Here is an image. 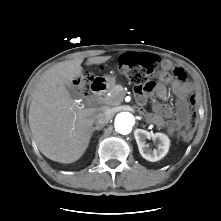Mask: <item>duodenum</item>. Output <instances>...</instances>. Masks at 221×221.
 Listing matches in <instances>:
<instances>
[{
    "mask_svg": "<svg viewBox=\"0 0 221 221\" xmlns=\"http://www.w3.org/2000/svg\"><path fill=\"white\" fill-rule=\"evenodd\" d=\"M108 88H109L108 82L103 79H96L91 84V90L95 94H102L106 92Z\"/></svg>",
    "mask_w": 221,
    "mask_h": 221,
    "instance_id": "410a0bca",
    "label": "duodenum"
}]
</instances>
